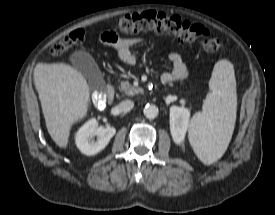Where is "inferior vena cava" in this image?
Returning a JSON list of instances; mask_svg holds the SVG:
<instances>
[{
  "label": "inferior vena cava",
  "mask_w": 275,
  "mask_h": 215,
  "mask_svg": "<svg viewBox=\"0 0 275 215\" xmlns=\"http://www.w3.org/2000/svg\"><path fill=\"white\" fill-rule=\"evenodd\" d=\"M134 107V102L131 100H124L117 105V109L122 113L131 111Z\"/></svg>",
  "instance_id": "inferior-vena-cava-1"
}]
</instances>
